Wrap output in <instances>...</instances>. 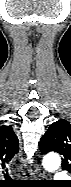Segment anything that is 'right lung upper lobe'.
I'll return each mask as SVG.
<instances>
[{"label":"right lung upper lobe","mask_w":71,"mask_h":187,"mask_svg":"<svg viewBox=\"0 0 71 187\" xmlns=\"http://www.w3.org/2000/svg\"><path fill=\"white\" fill-rule=\"evenodd\" d=\"M19 151V142L11 126L0 127V157L9 163Z\"/></svg>","instance_id":"1"}]
</instances>
